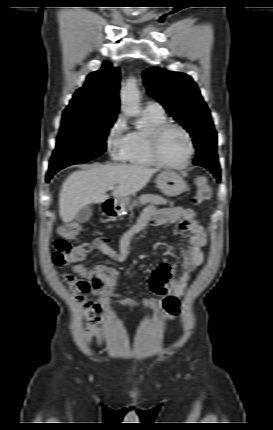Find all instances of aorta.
<instances>
[{
    "instance_id": "762f6f07",
    "label": "aorta",
    "mask_w": 273,
    "mask_h": 430,
    "mask_svg": "<svg viewBox=\"0 0 273 430\" xmlns=\"http://www.w3.org/2000/svg\"><path fill=\"white\" fill-rule=\"evenodd\" d=\"M122 109L129 116H137L141 113L140 92L134 79H130L121 91Z\"/></svg>"
}]
</instances>
